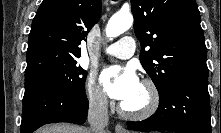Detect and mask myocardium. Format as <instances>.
Masks as SVG:
<instances>
[{
	"label": "myocardium",
	"instance_id": "f54148a6",
	"mask_svg": "<svg viewBox=\"0 0 221 133\" xmlns=\"http://www.w3.org/2000/svg\"><path fill=\"white\" fill-rule=\"evenodd\" d=\"M141 85L147 91L148 99L147 103L140 109L131 110L120 105V114L128 119L143 120L152 116L158 109L160 103V94L156 84L150 79H144Z\"/></svg>",
	"mask_w": 221,
	"mask_h": 133
}]
</instances>
